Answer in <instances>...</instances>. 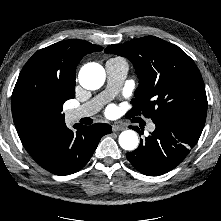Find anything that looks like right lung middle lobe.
<instances>
[{
    "instance_id": "obj_1",
    "label": "right lung middle lobe",
    "mask_w": 221,
    "mask_h": 221,
    "mask_svg": "<svg viewBox=\"0 0 221 221\" xmlns=\"http://www.w3.org/2000/svg\"><path fill=\"white\" fill-rule=\"evenodd\" d=\"M74 96V90L66 89L55 79L20 75L13 90L11 106L24 117L54 121L64 117L63 104Z\"/></svg>"
}]
</instances>
